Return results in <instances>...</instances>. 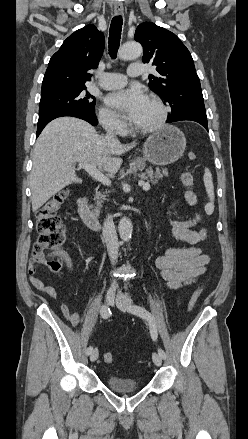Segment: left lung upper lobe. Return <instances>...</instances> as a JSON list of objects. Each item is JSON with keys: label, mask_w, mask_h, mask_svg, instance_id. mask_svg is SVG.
<instances>
[{"label": "left lung upper lobe", "mask_w": 248, "mask_h": 439, "mask_svg": "<svg viewBox=\"0 0 248 439\" xmlns=\"http://www.w3.org/2000/svg\"><path fill=\"white\" fill-rule=\"evenodd\" d=\"M134 39L143 46V62L156 66L149 87L171 106L168 118L182 113L205 114L204 99L192 56L172 32L152 22L140 24Z\"/></svg>", "instance_id": "left-lung-upper-lobe-1"}]
</instances>
